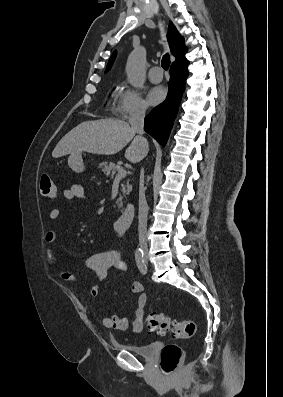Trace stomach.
I'll list each match as a JSON object with an SVG mask.
<instances>
[{
  "instance_id": "obj_1",
  "label": "stomach",
  "mask_w": 283,
  "mask_h": 397,
  "mask_svg": "<svg viewBox=\"0 0 283 397\" xmlns=\"http://www.w3.org/2000/svg\"><path fill=\"white\" fill-rule=\"evenodd\" d=\"M69 167L76 173L83 172L85 167L81 153H73L68 158Z\"/></svg>"
}]
</instances>
